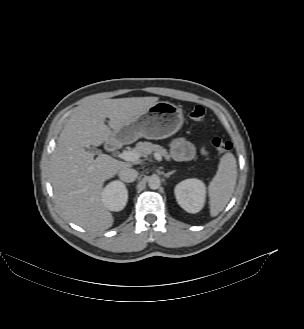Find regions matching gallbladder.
I'll use <instances>...</instances> for the list:
<instances>
[{
  "label": "gallbladder",
  "instance_id": "obj_1",
  "mask_svg": "<svg viewBox=\"0 0 304 329\" xmlns=\"http://www.w3.org/2000/svg\"><path fill=\"white\" fill-rule=\"evenodd\" d=\"M87 150L95 155L100 153V151L94 147H89V148H87Z\"/></svg>",
  "mask_w": 304,
  "mask_h": 329
}]
</instances>
